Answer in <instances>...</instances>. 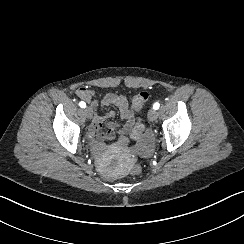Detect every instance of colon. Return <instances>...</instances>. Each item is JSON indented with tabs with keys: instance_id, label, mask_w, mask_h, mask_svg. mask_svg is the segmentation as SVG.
I'll return each mask as SVG.
<instances>
[{
	"instance_id": "5ec220e1",
	"label": "colon",
	"mask_w": 244,
	"mask_h": 244,
	"mask_svg": "<svg viewBox=\"0 0 244 244\" xmlns=\"http://www.w3.org/2000/svg\"><path fill=\"white\" fill-rule=\"evenodd\" d=\"M86 93V97H89L91 95L90 92H85ZM149 99V95L146 92H140L137 93L133 96L132 101H131V107L134 110H140L148 101ZM132 131V135L131 138L134 141L140 140L143 137V125L139 122L135 123L131 129ZM119 144L122 147H127L130 144V139L127 136H122L119 139ZM131 173L134 176H139L142 173V168L139 165H134L131 168Z\"/></svg>"
}]
</instances>
